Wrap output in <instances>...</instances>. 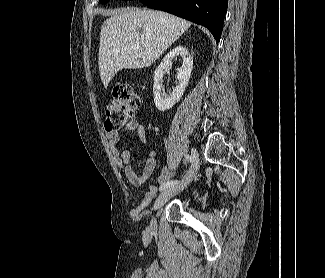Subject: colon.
Segmentation results:
<instances>
[{
  "mask_svg": "<svg viewBox=\"0 0 325 278\" xmlns=\"http://www.w3.org/2000/svg\"><path fill=\"white\" fill-rule=\"evenodd\" d=\"M112 101L104 108V129L115 131L128 123L141 105V99L129 86H118L113 90Z\"/></svg>",
  "mask_w": 325,
  "mask_h": 278,
  "instance_id": "colon-1",
  "label": "colon"
}]
</instances>
